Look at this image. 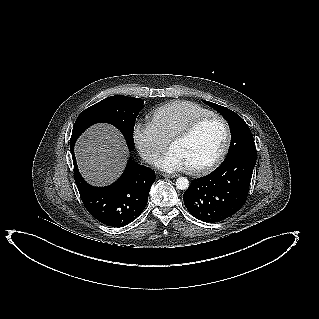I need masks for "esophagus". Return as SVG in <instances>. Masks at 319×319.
<instances>
[{"label": "esophagus", "mask_w": 319, "mask_h": 319, "mask_svg": "<svg viewBox=\"0 0 319 319\" xmlns=\"http://www.w3.org/2000/svg\"><path fill=\"white\" fill-rule=\"evenodd\" d=\"M163 175V177H165V178H175V177H177V175L176 174H162Z\"/></svg>", "instance_id": "obj_1"}]
</instances>
